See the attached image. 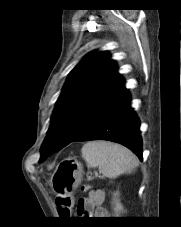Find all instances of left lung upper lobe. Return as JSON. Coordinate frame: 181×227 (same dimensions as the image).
I'll use <instances>...</instances> for the list:
<instances>
[{
	"label": "left lung upper lobe",
	"instance_id": "1",
	"mask_svg": "<svg viewBox=\"0 0 181 227\" xmlns=\"http://www.w3.org/2000/svg\"><path fill=\"white\" fill-rule=\"evenodd\" d=\"M123 83L106 52H93L83 58L71 71L58 98L39 162L71 143L95 110Z\"/></svg>",
	"mask_w": 181,
	"mask_h": 227
}]
</instances>
